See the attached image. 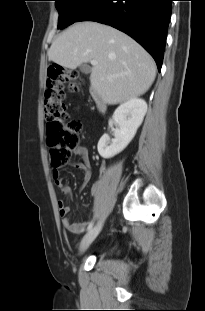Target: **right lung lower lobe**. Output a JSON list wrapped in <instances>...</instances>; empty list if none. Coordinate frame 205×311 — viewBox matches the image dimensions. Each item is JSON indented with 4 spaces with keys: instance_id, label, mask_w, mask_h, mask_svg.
Listing matches in <instances>:
<instances>
[{
    "instance_id": "1",
    "label": "right lung lower lobe",
    "mask_w": 205,
    "mask_h": 311,
    "mask_svg": "<svg viewBox=\"0 0 205 311\" xmlns=\"http://www.w3.org/2000/svg\"><path fill=\"white\" fill-rule=\"evenodd\" d=\"M173 0H96L76 21H96L134 38L160 71Z\"/></svg>"
}]
</instances>
